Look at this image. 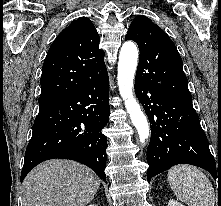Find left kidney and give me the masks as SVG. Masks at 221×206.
<instances>
[{"label":"left kidney","instance_id":"5707ae66","mask_svg":"<svg viewBox=\"0 0 221 206\" xmlns=\"http://www.w3.org/2000/svg\"><path fill=\"white\" fill-rule=\"evenodd\" d=\"M168 206H184L182 205L180 202L174 200V199H171L169 202H168Z\"/></svg>","mask_w":221,"mask_h":206}]
</instances>
